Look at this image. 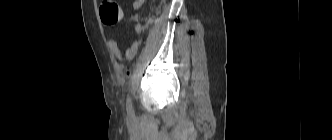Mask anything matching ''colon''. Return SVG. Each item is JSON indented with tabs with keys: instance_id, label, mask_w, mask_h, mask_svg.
Instances as JSON below:
<instances>
[{
	"instance_id": "colon-1",
	"label": "colon",
	"mask_w": 332,
	"mask_h": 140,
	"mask_svg": "<svg viewBox=\"0 0 332 140\" xmlns=\"http://www.w3.org/2000/svg\"><path fill=\"white\" fill-rule=\"evenodd\" d=\"M100 16L105 25L112 26L121 21L122 10L114 0H102Z\"/></svg>"
}]
</instances>
